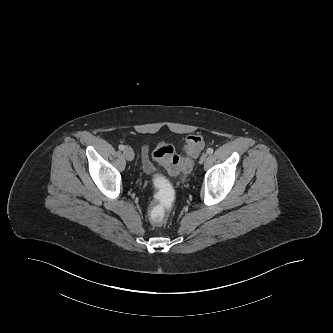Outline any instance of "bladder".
<instances>
[{
  "instance_id": "obj_1",
  "label": "bladder",
  "mask_w": 333,
  "mask_h": 333,
  "mask_svg": "<svg viewBox=\"0 0 333 333\" xmlns=\"http://www.w3.org/2000/svg\"><path fill=\"white\" fill-rule=\"evenodd\" d=\"M141 168L145 175L151 176L154 174V166L149 159L146 149L143 150L141 155Z\"/></svg>"
}]
</instances>
